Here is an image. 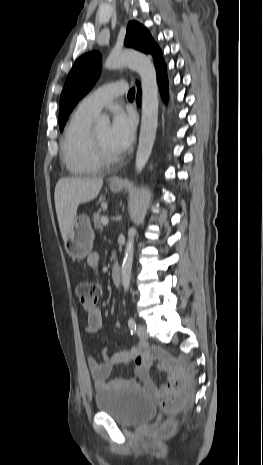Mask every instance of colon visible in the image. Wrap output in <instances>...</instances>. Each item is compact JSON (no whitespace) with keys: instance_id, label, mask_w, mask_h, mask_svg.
I'll use <instances>...</instances> for the list:
<instances>
[{"instance_id":"obj_1","label":"colon","mask_w":263,"mask_h":465,"mask_svg":"<svg viewBox=\"0 0 263 465\" xmlns=\"http://www.w3.org/2000/svg\"><path fill=\"white\" fill-rule=\"evenodd\" d=\"M76 293L81 306L87 311H92L96 308L101 296L99 286L91 282L80 283L77 286ZM165 393L167 395L161 399L160 404L169 414L175 415L186 401L183 381L174 380L165 387ZM175 426V420L169 419L163 423L160 430L162 433L166 434L171 432Z\"/></svg>"}]
</instances>
